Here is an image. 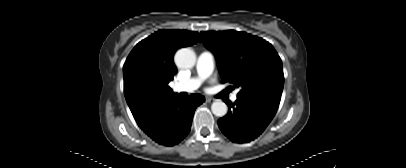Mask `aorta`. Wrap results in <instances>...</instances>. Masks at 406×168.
Here are the masks:
<instances>
[{"instance_id": "762f6f07", "label": "aorta", "mask_w": 406, "mask_h": 168, "mask_svg": "<svg viewBox=\"0 0 406 168\" xmlns=\"http://www.w3.org/2000/svg\"><path fill=\"white\" fill-rule=\"evenodd\" d=\"M174 60L179 68H192L196 63V54L190 48H182L176 52ZM211 110L215 116L223 117L228 108L222 100H216L212 103Z\"/></svg>"}]
</instances>
